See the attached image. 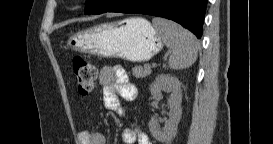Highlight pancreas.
I'll return each instance as SVG.
<instances>
[{
  "label": "pancreas",
  "mask_w": 273,
  "mask_h": 144,
  "mask_svg": "<svg viewBox=\"0 0 273 144\" xmlns=\"http://www.w3.org/2000/svg\"><path fill=\"white\" fill-rule=\"evenodd\" d=\"M132 72L136 78H145L151 74V68L136 66L132 69Z\"/></svg>",
  "instance_id": "cf45deb5"
}]
</instances>
